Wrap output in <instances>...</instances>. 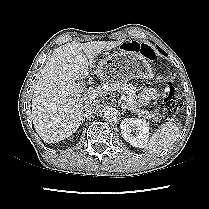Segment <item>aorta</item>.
Returning a JSON list of instances; mask_svg holds the SVG:
<instances>
[{
    "instance_id": "obj_1",
    "label": "aorta",
    "mask_w": 209,
    "mask_h": 209,
    "mask_svg": "<svg viewBox=\"0 0 209 209\" xmlns=\"http://www.w3.org/2000/svg\"><path fill=\"white\" fill-rule=\"evenodd\" d=\"M119 118V112L117 109L109 107L103 112V119L107 122H114Z\"/></svg>"
}]
</instances>
